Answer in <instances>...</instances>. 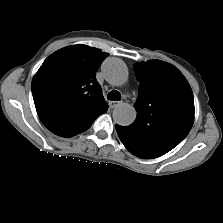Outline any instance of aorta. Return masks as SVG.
Returning a JSON list of instances; mask_svg holds the SVG:
<instances>
[{
	"mask_svg": "<svg viewBox=\"0 0 223 223\" xmlns=\"http://www.w3.org/2000/svg\"><path fill=\"white\" fill-rule=\"evenodd\" d=\"M105 79L111 85L122 86L128 77L126 64L118 58H108L102 64ZM137 116L135 108L128 103H121L113 110V120L121 126L131 125Z\"/></svg>",
	"mask_w": 223,
	"mask_h": 223,
	"instance_id": "1",
	"label": "aorta"
}]
</instances>
